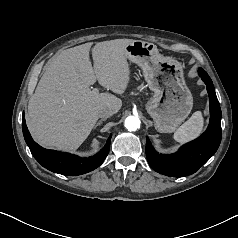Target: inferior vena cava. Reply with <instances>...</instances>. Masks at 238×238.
<instances>
[{"label": "inferior vena cava", "instance_id": "602c4592", "mask_svg": "<svg viewBox=\"0 0 238 238\" xmlns=\"http://www.w3.org/2000/svg\"><path fill=\"white\" fill-rule=\"evenodd\" d=\"M114 114V110L110 107L104 106L98 110V116L100 118H108Z\"/></svg>", "mask_w": 238, "mask_h": 238}]
</instances>
